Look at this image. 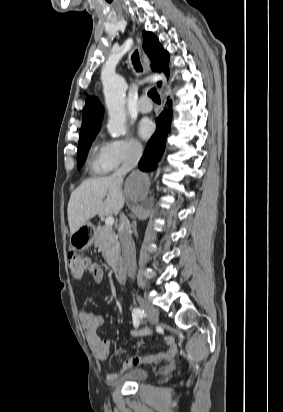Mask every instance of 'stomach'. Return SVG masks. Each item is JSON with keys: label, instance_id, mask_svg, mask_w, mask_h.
Here are the masks:
<instances>
[{"label": "stomach", "instance_id": "0dacf381", "mask_svg": "<svg viewBox=\"0 0 283 412\" xmlns=\"http://www.w3.org/2000/svg\"><path fill=\"white\" fill-rule=\"evenodd\" d=\"M94 227L90 223H85L75 233L70 236V246L74 250H83L90 247L95 238Z\"/></svg>", "mask_w": 283, "mask_h": 412}]
</instances>
